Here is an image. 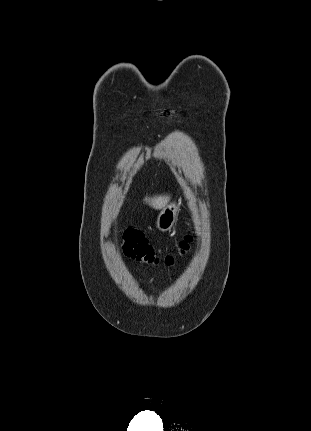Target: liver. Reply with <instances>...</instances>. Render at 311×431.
<instances>
[{"label": "liver", "mask_w": 311, "mask_h": 431, "mask_svg": "<svg viewBox=\"0 0 311 431\" xmlns=\"http://www.w3.org/2000/svg\"><path fill=\"white\" fill-rule=\"evenodd\" d=\"M170 200L171 196H168V194H165V196H162V194H160V196H153V198H148V196H146L143 202H145V204H148L150 208H154V210H162V208H165V206H167Z\"/></svg>", "instance_id": "1"}]
</instances>
